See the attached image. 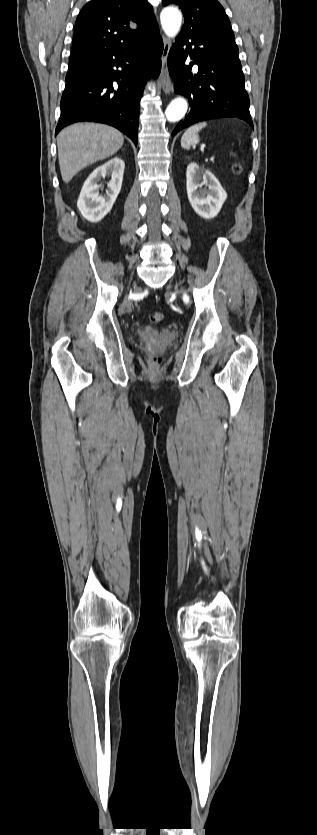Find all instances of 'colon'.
Returning <instances> with one entry per match:
<instances>
[{
	"instance_id": "obj_1",
	"label": "colon",
	"mask_w": 317,
	"mask_h": 835,
	"mask_svg": "<svg viewBox=\"0 0 317 835\" xmlns=\"http://www.w3.org/2000/svg\"><path fill=\"white\" fill-rule=\"evenodd\" d=\"M233 172H234V174H240L242 172V166L239 165V164H236L233 167ZM149 319L154 324L159 323L163 319V314L161 312H158V311L152 312L149 316ZM162 358H163L162 354L156 353V354H154L150 357V362L152 364L158 365L162 362Z\"/></svg>"
}]
</instances>
